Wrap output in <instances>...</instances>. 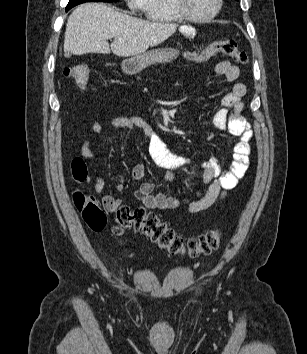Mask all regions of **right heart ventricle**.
Segmentation results:
<instances>
[{
    "label": "right heart ventricle",
    "mask_w": 307,
    "mask_h": 354,
    "mask_svg": "<svg viewBox=\"0 0 307 354\" xmlns=\"http://www.w3.org/2000/svg\"><path fill=\"white\" fill-rule=\"evenodd\" d=\"M148 19L155 22H181L184 18L175 7L174 0H147L143 9Z\"/></svg>",
    "instance_id": "obj_1"
}]
</instances>
